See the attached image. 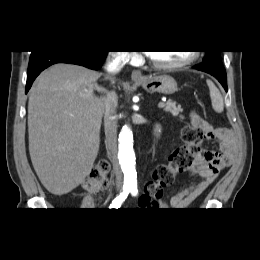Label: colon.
<instances>
[{"instance_id": "1", "label": "colon", "mask_w": 260, "mask_h": 260, "mask_svg": "<svg viewBox=\"0 0 260 260\" xmlns=\"http://www.w3.org/2000/svg\"><path fill=\"white\" fill-rule=\"evenodd\" d=\"M202 139H204L203 132L192 122L184 128L182 132L184 145L171 154L168 163L156 167L152 179L146 184L144 196L152 204L161 197L163 190L173 183L178 173L192 166L195 156L200 150L199 144ZM109 170L108 161L102 160L98 162L91 170L84 184V190L91 193L105 189L109 183Z\"/></svg>"}]
</instances>
